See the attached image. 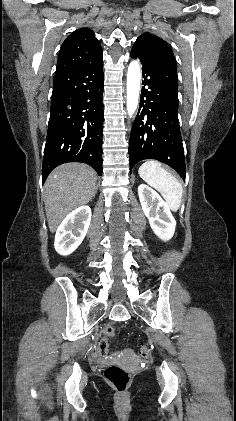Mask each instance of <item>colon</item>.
I'll return each mask as SVG.
<instances>
[{
  "mask_svg": "<svg viewBox=\"0 0 236 421\" xmlns=\"http://www.w3.org/2000/svg\"><path fill=\"white\" fill-rule=\"evenodd\" d=\"M113 336V327H107L104 331V336L100 340L98 346L99 352L102 355L108 353L109 343ZM140 355L145 359L150 357V348L148 345L144 344L141 346ZM104 376L105 379L118 391L126 390L131 382L130 372L116 364L109 365L104 371Z\"/></svg>",
  "mask_w": 236,
  "mask_h": 421,
  "instance_id": "1",
  "label": "colon"
}]
</instances>
